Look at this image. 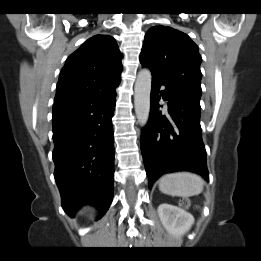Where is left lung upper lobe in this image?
Here are the masks:
<instances>
[{"mask_svg": "<svg viewBox=\"0 0 261 261\" xmlns=\"http://www.w3.org/2000/svg\"><path fill=\"white\" fill-rule=\"evenodd\" d=\"M140 61L151 70L153 78L201 97L202 58L187 34L167 26L150 28Z\"/></svg>", "mask_w": 261, "mask_h": 261, "instance_id": "obj_1", "label": "left lung upper lobe"}]
</instances>
